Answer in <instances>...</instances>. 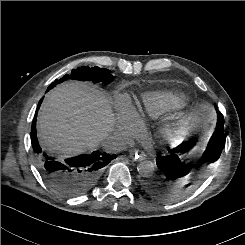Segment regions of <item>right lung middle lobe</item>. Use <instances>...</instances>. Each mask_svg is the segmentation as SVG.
Segmentation results:
<instances>
[{
	"label": "right lung middle lobe",
	"instance_id": "obj_1",
	"mask_svg": "<svg viewBox=\"0 0 245 245\" xmlns=\"http://www.w3.org/2000/svg\"><path fill=\"white\" fill-rule=\"evenodd\" d=\"M66 79H76V80H82V81H93L94 83L100 82L102 84L108 85L113 81V75L111 72L107 69H100L99 67H79L75 70H72L70 74L65 75L58 81L56 80L54 83H52L48 89H52L56 84L61 83L65 81Z\"/></svg>",
	"mask_w": 245,
	"mask_h": 245
}]
</instances>
